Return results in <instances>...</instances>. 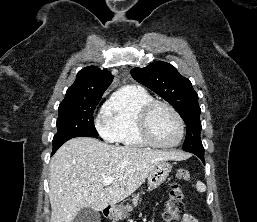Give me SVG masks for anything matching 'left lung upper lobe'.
<instances>
[{"mask_svg":"<svg viewBox=\"0 0 257 222\" xmlns=\"http://www.w3.org/2000/svg\"><path fill=\"white\" fill-rule=\"evenodd\" d=\"M130 73L137 82L157 93L180 114L187 128L183 150L204 153L200 139L202 127L198 95L189 79L181 76L174 66L163 61L153 62L144 68H134Z\"/></svg>","mask_w":257,"mask_h":222,"instance_id":"obj_1","label":"left lung upper lobe"}]
</instances>
